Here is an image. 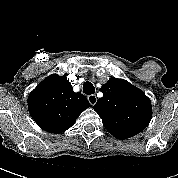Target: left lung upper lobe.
<instances>
[{"label": "left lung upper lobe", "mask_w": 178, "mask_h": 178, "mask_svg": "<svg viewBox=\"0 0 178 178\" xmlns=\"http://www.w3.org/2000/svg\"><path fill=\"white\" fill-rule=\"evenodd\" d=\"M100 91L93 109L102 118L105 128L118 139L140 133L151 120L152 108L144 92L123 79L110 78Z\"/></svg>", "instance_id": "5c2ea615"}]
</instances>
